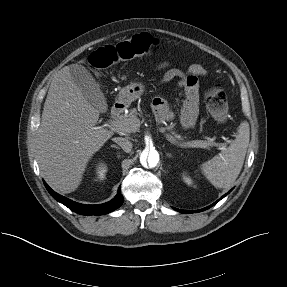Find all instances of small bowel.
<instances>
[{"mask_svg": "<svg viewBox=\"0 0 287 287\" xmlns=\"http://www.w3.org/2000/svg\"><path fill=\"white\" fill-rule=\"evenodd\" d=\"M158 70L164 71L159 80L160 83H167L175 78L179 79L178 88L186 92V101L180 115V123L183 128H192L199 115L198 78L204 76L206 70L200 64H193L189 67L187 74H185L168 63H161L158 66ZM152 108L160 121H169L174 118L165 97L161 95L153 98Z\"/></svg>", "mask_w": 287, "mask_h": 287, "instance_id": "1", "label": "small bowel"}]
</instances>
